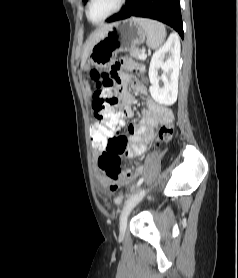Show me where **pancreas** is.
Instances as JSON below:
<instances>
[{
	"mask_svg": "<svg viewBox=\"0 0 238 278\" xmlns=\"http://www.w3.org/2000/svg\"><path fill=\"white\" fill-rule=\"evenodd\" d=\"M130 51V55L135 57V58H138L140 59V56L142 54V50L138 49V48H132L129 50Z\"/></svg>",
	"mask_w": 238,
	"mask_h": 278,
	"instance_id": "pancreas-1",
	"label": "pancreas"
}]
</instances>
